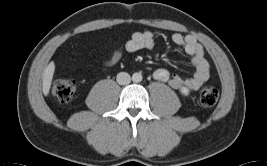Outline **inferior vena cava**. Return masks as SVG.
Listing matches in <instances>:
<instances>
[{"instance_id": "obj_1", "label": "inferior vena cava", "mask_w": 267, "mask_h": 166, "mask_svg": "<svg viewBox=\"0 0 267 166\" xmlns=\"http://www.w3.org/2000/svg\"><path fill=\"white\" fill-rule=\"evenodd\" d=\"M117 82L120 85H127L131 82V77L128 73L126 72H120L117 75Z\"/></svg>"}]
</instances>
